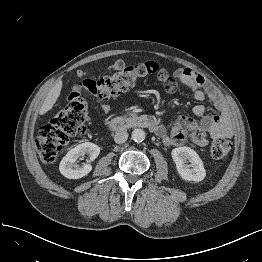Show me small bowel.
Returning a JSON list of instances; mask_svg holds the SVG:
<instances>
[{"mask_svg":"<svg viewBox=\"0 0 262 262\" xmlns=\"http://www.w3.org/2000/svg\"><path fill=\"white\" fill-rule=\"evenodd\" d=\"M159 74L164 90L172 94L177 90V82L189 86L198 101H209L217 109V113L208 115L205 107L195 105L191 109L193 116L200 118L198 124L191 118L182 117L170 129L161 124L153 126L155 134L168 146L181 145L188 139L205 146L209 138H232L233 129L228 114L226 100L207 82V80L190 67L177 69L170 76L165 70ZM108 110V106H104Z\"/></svg>","mask_w":262,"mask_h":262,"instance_id":"obj_1","label":"small bowel"}]
</instances>
